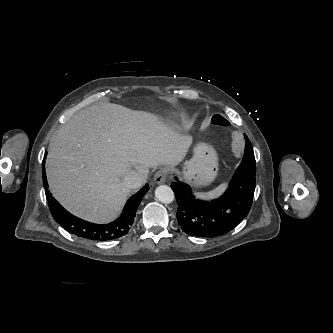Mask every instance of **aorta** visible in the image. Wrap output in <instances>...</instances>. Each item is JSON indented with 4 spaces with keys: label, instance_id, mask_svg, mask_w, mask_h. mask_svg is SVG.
I'll use <instances>...</instances> for the list:
<instances>
[{
    "label": "aorta",
    "instance_id": "762f6f07",
    "mask_svg": "<svg viewBox=\"0 0 333 333\" xmlns=\"http://www.w3.org/2000/svg\"><path fill=\"white\" fill-rule=\"evenodd\" d=\"M155 197L162 203L169 204L174 200V192L167 185H160L155 190Z\"/></svg>",
    "mask_w": 333,
    "mask_h": 333
}]
</instances>
